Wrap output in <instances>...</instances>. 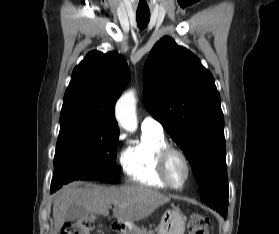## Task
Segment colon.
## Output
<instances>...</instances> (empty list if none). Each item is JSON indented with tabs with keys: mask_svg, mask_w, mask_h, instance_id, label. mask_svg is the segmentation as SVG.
I'll list each match as a JSON object with an SVG mask.
<instances>
[{
	"mask_svg": "<svg viewBox=\"0 0 279 234\" xmlns=\"http://www.w3.org/2000/svg\"><path fill=\"white\" fill-rule=\"evenodd\" d=\"M209 220L201 213H193L188 221V234H208ZM93 227L91 218H82L64 224L61 234H90Z\"/></svg>",
	"mask_w": 279,
	"mask_h": 234,
	"instance_id": "obj_1",
	"label": "colon"
}]
</instances>
